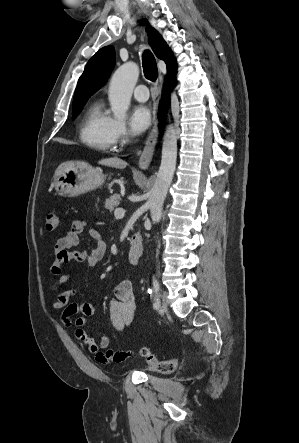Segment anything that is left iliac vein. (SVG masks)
<instances>
[{
  "label": "left iliac vein",
  "instance_id": "1",
  "mask_svg": "<svg viewBox=\"0 0 299 443\" xmlns=\"http://www.w3.org/2000/svg\"><path fill=\"white\" fill-rule=\"evenodd\" d=\"M167 309H168V299H167L166 294H164V295H163L162 305H161V307H160V310H161L162 312H165V311H167Z\"/></svg>",
  "mask_w": 299,
  "mask_h": 443
}]
</instances>
